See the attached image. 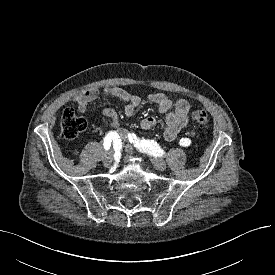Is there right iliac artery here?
I'll return each instance as SVG.
<instances>
[{
	"mask_svg": "<svg viewBox=\"0 0 275 275\" xmlns=\"http://www.w3.org/2000/svg\"><path fill=\"white\" fill-rule=\"evenodd\" d=\"M119 143L120 139L116 132H109L104 138V149L108 151L111 147V142Z\"/></svg>",
	"mask_w": 275,
	"mask_h": 275,
	"instance_id": "right-iliac-artery-1",
	"label": "right iliac artery"
}]
</instances>
